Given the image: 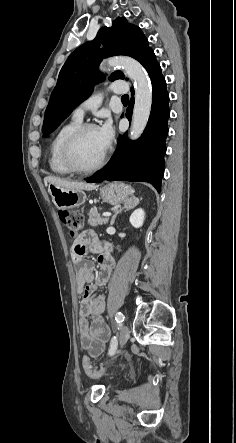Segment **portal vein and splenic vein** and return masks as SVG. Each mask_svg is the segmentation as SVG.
<instances>
[{"label":"portal vein and splenic vein","instance_id":"1","mask_svg":"<svg viewBox=\"0 0 236 443\" xmlns=\"http://www.w3.org/2000/svg\"><path fill=\"white\" fill-rule=\"evenodd\" d=\"M103 216H104V217H110V216H111V213H110V212H105V213H103Z\"/></svg>","mask_w":236,"mask_h":443}]
</instances>
